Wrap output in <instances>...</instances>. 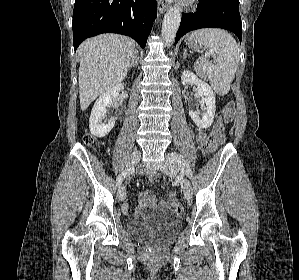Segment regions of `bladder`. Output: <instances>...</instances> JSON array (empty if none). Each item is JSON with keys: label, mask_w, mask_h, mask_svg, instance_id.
<instances>
[{"label": "bladder", "mask_w": 299, "mask_h": 280, "mask_svg": "<svg viewBox=\"0 0 299 280\" xmlns=\"http://www.w3.org/2000/svg\"><path fill=\"white\" fill-rule=\"evenodd\" d=\"M180 223V218L169 210H148L131 219L128 228L143 241L161 244L176 233Z\"/></svg>", "instance_id": "31cf9c89"}]
</instances>
